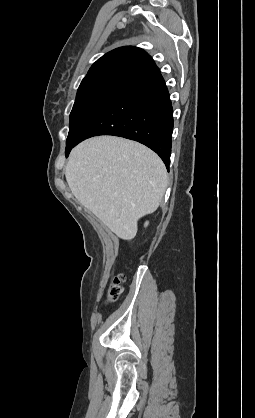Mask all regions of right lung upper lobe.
Instances as JSON below:
<instances>
[{
    "label": "right lung upper lobe",
    "mask_w": 255,
    "mask_h": 418,
    "mask_svg": "<svg viewBox=\"0 0 255 418\" xmlns=\"http://www.w3.org/2000/svg\"><path fill=\"white\" fill-rule=\"evenodd\" d=\"M158 73V67L144 50L125 46L114 49L98 59L81 85L112 83L127 87Z\"/></svg>",
    "instance_id": "1"
}]
</instances>
